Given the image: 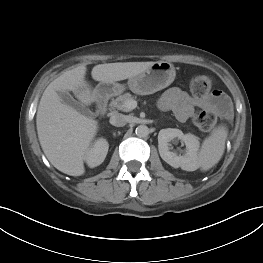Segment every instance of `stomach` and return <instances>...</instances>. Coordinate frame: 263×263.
Returning <instances> with one entry per match:
<instances>
[{
	"mask_svg": "<svg viewBox=\"0 0 263 263\" xmlns=\"http://www.w3.org/2000/svg\"><path fill=\"white\" fill-rule=\"evenodd\" d=\"M175 75L173 64L158 61L143 72L129 78L127 87L139 95L153 94L169 86L174 81ZM125 88L123 84L101 82L96 86L95 93L98 96H110L121 93Z\"/></svg>",
	"mask_w": 263,
	"mask_h": 263,
	"instance_id": "obj_1",
	"label": "stomach"
}]
</instances>
